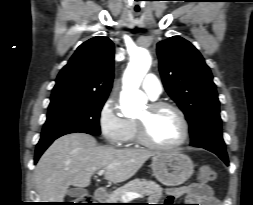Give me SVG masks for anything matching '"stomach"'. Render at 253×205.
Wrapping results in <instances>:
<instances>
[{
	"label": "stomach",
	"mask_w": 253,
	"mask_h": 205,
	"mask_svg": "<svg viewBox=\"0 0 253 205\" xmlns=\"http://www.w3.org/2000/svg\"><path fill=\"white\" fill-rule=\"evenodd\" d=\"M151 166L156 179L166 186L183 184L194 171L190 157L176 150L155 154Z\"/></svg>",
	"instance_id": "stomach-1"
}]
</instances>
